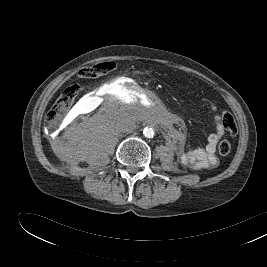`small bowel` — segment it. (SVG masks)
I'll return each instance as SVG.
<instances>
[{"label": "small bowel", "mask_w": 267, "mask_h": 267, "mask_svg": "<svg viewBox=\"0 0 267 267\" xmlns=\"http://www.w3.org/2000/svg\"><path fill=\"white\" fill-rule=\"evenodd\" d=\"M210 110L213 114L216 128L208 137L206 146L203 148L181 149L178 152L180 161L184 165L196 170L212 168L217 165L216 147L226 132H228L223 125V113L218 112L214 104H210ZM171 135L179 136V133L173 129Z\"/></svg>", "instance_id": "1"}]
</instances>
